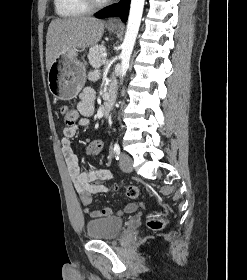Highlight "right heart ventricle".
Masks as SVG:
<instances>
[{
    "label": "right heart ventricle",
    "instance_id": "right-heart-ventricle-1",
    "mask_svg": "<svg viewBox=\"0 0 247 280\" xmlns=\"http://www.w3.org/2000/svg\"><path fill=\"white\" fill-rule=\"evenodd\" d=\"M56 13L64 18L85 15L90 12V7L84 0H54Z\"/></svg>",
    "mask_w": 247,
    "mask_h": 280
}]
</instances>
